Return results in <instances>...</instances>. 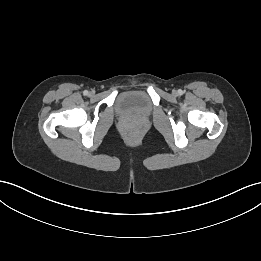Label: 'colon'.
<instances>
[{"label":"colon","instance_id":"obj_1","mask_svg":"<svg viewBox=\"0 0 261 261\" xmlns=\"http://www.w3.org/2000/svg\"><path fill=\"white\" fill-rule=\"evenodd\" d=\"M131 137L132 138H136L137 137V133L136 132H131Z\"/></svg>","mask_w":261,"mask_h":261}]
</instances>
